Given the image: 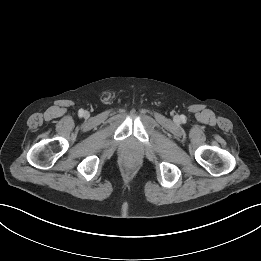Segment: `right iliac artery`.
I'll return each mask as SVG.
<instances>
[{
	"label": "right iliac artery",
	"mask_w": 261,
	"mask_h": 261,
	"mask_svg": "<svg viewBox=\"0 0 261 261\" xmlns=\"http://www.w3.org/2000/svg\"><path fill=\"white\" fill-rule=\"evenodd\" d=\"M83 113H84V111L81 109V110H79V115L81 116V115H83Z\"/></svg>",
	"instance_id": "obj_1"
}]
</instances>
